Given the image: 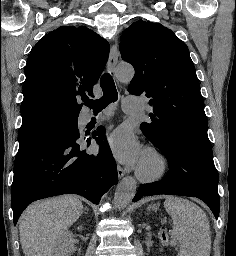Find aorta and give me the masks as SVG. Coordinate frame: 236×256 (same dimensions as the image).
Listing matches in <instances>:
<instances>
[{
    "label": "aorta",
    "mask_w": 236,
    "mask_h": 256,
    "mask_svg": "<svg viewBox=\"0 0 236 256\" xmlns=\"http://www.w3.org/2000/svg\"><path fill=\"white\" fill-rule=\"evenodd\" d=\"M116 77L121 82H129L134 76V69L131 65L120 64L116 68ZM136 194V181L133 177H125L118 184L115 195L114 203L119 209L126 207L132 202Z\"/></svg>",
    "instance_id": "762f6f07"
}]
</instances>
